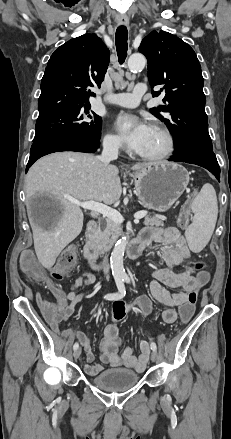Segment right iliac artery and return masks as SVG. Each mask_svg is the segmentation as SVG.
<instances>
[{
	"label": "right iliac artery",
	"instance_id": "1",
	"mask_svg": "<svg viewBox=\"0 0 231 439\" xmlns=\"http://www.w3.org/2000/svg\"><path fill=\"white\" fill-rule=\"evenodd\" d=\"M123 281H124L123 278L116 279V285H117V288H118V292L106 294L104 296V298L106 300H118V299L123 298L125 296V294H126L125 286H124ZM78 347H79V344L76 342L73 345V349L76 350Z\"/></svg>",
	"mask_w": 231,
	"mask_h": 439
}]
</instances>
